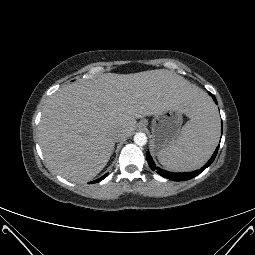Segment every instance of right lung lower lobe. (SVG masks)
I'll list each match as a JSON object with an SVG mask.
<instances>
[{
	"instance_id": "1",
	"label": "right lung lower lobe",
	"mask_w": 255,
	"mask_h": 255,
	"mask_svg": "<svg viewBox=\"0 0 255 255\" xmlns=\"http://www.w3.org/2000/svg\"><path fill=\"white\" fill-rule=\"evenodd\" d=\"M108 174H109V173H106L104 176L100 177V178L97 179V180L92 181L91 183H95V182H99V181L103 180L104 178L107 177Z\"/></svg>"
}]
</instances>
